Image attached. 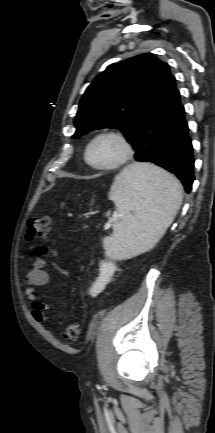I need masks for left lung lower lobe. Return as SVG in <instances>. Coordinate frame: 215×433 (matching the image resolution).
Masks as SVG:
<instances>
[{"label":"left lung lower lobe","mask_w":215,"mask_h":433,"mask_svg":"<svg viewBox=\"0 0 215 433\" xmlns=\"http://www.w3.org/2000/svg\"><path fill=\"white\" fill-rule=\"evenodd\" d=\"M189 128L185 120L180 97L176 102L171 120L159 142L157 155L152 163L176 175L187 193L192 189L194 155Z\"/></svg>","instance_id":"left-lung-lower-lobe-1"}]
</instances>
